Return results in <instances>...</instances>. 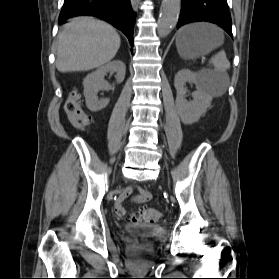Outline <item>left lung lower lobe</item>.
Here are the masks:
<instances>
[{"mask_svg": "<svg viewBox=\"0 0 279 279\" xmlns=\"http://www.w3.org/2000/svg\"><path fill=\"white\" fill-rule=\"evenodd\" d=\"M198 21L218 24L232 37V22L227 0H182L177 28Z\"/></svg>", "mask_w": 279, "mask_h": 279, "instance_id": "obj_1", "label": "left lung lower lobe"}]
</instances>
